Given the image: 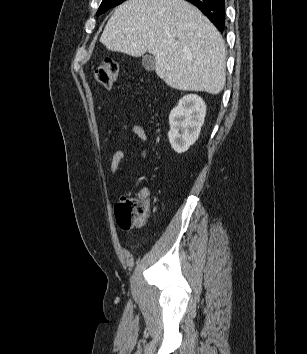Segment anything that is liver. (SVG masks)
Listing matches in <instances>:
<instances>
[{
  "label": "liver",
  "instance_id": "1",
  "mask_svg": "<svg viewBox=\"0 0 307 354\" xmlns=\"http://www.w3.org/2000/svg\"><path fill=\"white\" fill-rule=\"evenodd\" d=\"M100 42L109 50L155 57L168 86L218 94L225 85V43L215 26L184 0H127L107 22Z\"/></svg>",
  "mask_w": 307,
  "mask_h": 354
}]
</instances>
